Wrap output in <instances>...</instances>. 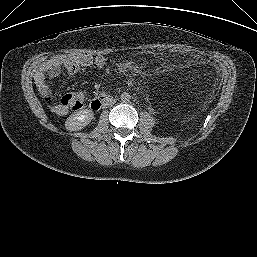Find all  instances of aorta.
<instances>
[{"label": "aorta", "instance_id": "762f6f07", "mask_svg": "<svg viewBox=\"0 0 257 257\" xmlns=\"http://www.w3.org/2000/svg\"><path fill=\"white\" fill-rule=\"evenodd\" d=\"M120 98L123 102H129L131 99V95L129 93L124 92L121 94Z\"/></svg>", "mask_w": 257, "mask_h": 257}]
</instances>
